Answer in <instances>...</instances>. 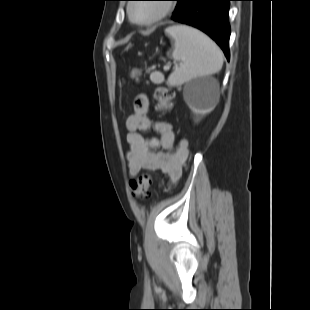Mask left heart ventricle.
I'll return each instance as SVG.
<instances>
[{
  "mask_svg": "<svg viewBox=\"0 0 310 310\" xmlns=\"http://www.w3.org/2000/svg\"><path fill=\"white\" fill-rule=\"evenodd\" d=\"M160 10V3H139L133 7V16L137 20H146L155 16Z\"/></svg>",
  "mask_w": 310,
  "mask_h": 310,
  "instance_id": "b2bd125f",
  "label": "left heart ventricle"
}]
</instances>
